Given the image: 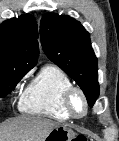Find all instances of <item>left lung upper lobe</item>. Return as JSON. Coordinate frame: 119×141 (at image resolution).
<instances>
[{"instance_id": "5c2ea615", "label": "left lung upper lobe", "mask_w": 119, "mask_h": 141, "mask_svg": "<svg viewBox=\"0 0 119 141\" xmlns=\"http://www.w3.org/2000/svg\"><path fill=\"white\" fill-rule=\"evenodd\" d=\"M40 36L47 57L77 82L92 107L99 96V84L89 33L69 16L46 13L41 20Z\"/></svg>"}]
</instances>
